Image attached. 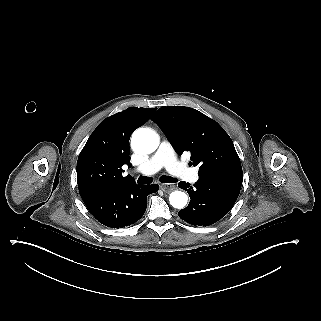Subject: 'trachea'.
Listing matches in <instances>:
<instances>
[{
	"label": "trachea",
	"mask_w": 321,
	"mask_h": 321,
	"mask_svg": "<svg viewBox=\"0 0 321 321\" xmlns=\"http://www.w3.org/2000/svg\"><path fill=\"white\" fill-rule=\"evenodd\" d=\"M159 181L162 182V183H175L177 182L178 180L176 178H173V177H170V176H165V175H162L160 178H159ZM137 182L139 184H150L153 182V178L152 177H145V176H140L138 179H137Z\"/></svg>",
	"instance_id": "obj_1"
}]
</instances>
